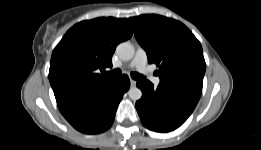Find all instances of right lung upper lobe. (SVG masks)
Masks as SVG:
<instances>
[{
	"label": "right lung upper lobe",
	"instance_id": "1",
	"mask_svg": "<svg viewBox=\"0 0 261 150\" xmlns=\"http://www.w3.org/2000/svg\"><path fill=\"white\" fill-rule=\"evenodd\" d=\"M132 33L128 19L112 17L82 21L67 31L52 53L49 69L62 114L116 83L104 69L112 67L116 46Z\"/></svg>",
	"mask_w": 261,
	"mask_h": 150
}]
</instances>
